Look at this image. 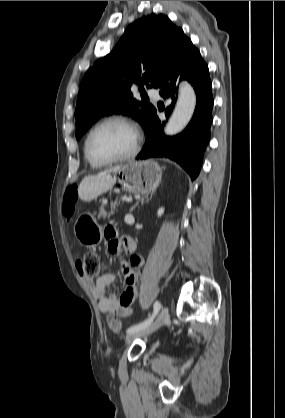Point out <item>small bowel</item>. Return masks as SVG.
<instances>
[{
    "label": "small bowel",
    "mask_w": 285,
    "mask_h": 418,
    "mask_svg": "<svg viewBox=\"0 0 285 418\" xmlns=\"http://www.w3.org/2000/svg\"><path fill=\"white\" fill-rule=\"evenodd\" d=\"M105 240L106 248L113 256H118L122 249L132 253L136 247L132 238L118 237L113 229L106 231ZM143 265V258L136 254H132L128 260L121 263L120 269L126 285L125 291L121 295L107 294L106 292V288L113 283L115 278L111 273H102L94 282L84 280L92 286L93 295L98 301V309L101 313L116 314L122 318L131 314L133 301L137 297L138 275Z\"/></svg>",
    "instance_id": "small-bowel-1"
}]
</instances>
